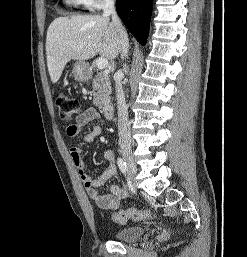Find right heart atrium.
Returning a JSON list of instances; mask_svg holds the SVG:
<instances>
[{
  "instance_id": "d8ad5b80",
  "label": "right heart atrium",
  "mask_w": 247,
  "mask_h": 257,
  "mask_svg": "<svg viewBox=\"0 0 247 257\" xmlns=\"http://www.w3.org/2000/svg\"><path fill=\"white\" fill-rule=\"evenodd\" d=\"M81 5L90 11L101 8L108 0H79Z\"/></svg>"
}]
</instances>
